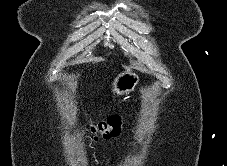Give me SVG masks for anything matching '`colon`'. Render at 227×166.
Returning a JSON list of instances; mask_svg holds the SVG:
<instances>
[{
    "mask_svg": "<svg viewBox=\"0 0 227 166\" xmlns=\"http://www.w3.org/2000/svg\"><path fill=\"white\" fill-rule=\"evenodd\" d=\"M122 118L119 115H112L106 120L99 122L96 125L89 127L88 133L92 138L109 139L116 137L121 132Z\"/></svg>",
    "mask_w": 227,
    "mask_h": 166,
    "instance_id": "5ec220e1",
    "label": "colon"
}]
</instances>
